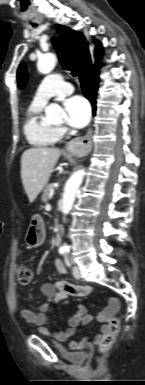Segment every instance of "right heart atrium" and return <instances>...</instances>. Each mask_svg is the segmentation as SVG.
Listing matches in <instances>:
<instances>
[{
  "label": "right heart atrium",
  "instance_id": "d8ad5b80",
  "mask_svg": "<svg viewBox=\"0 0 145 385\" xmlns=\"http://www.w3.org/2000/svg\"><path fill=\"white\" fill-rule=\"evenodd\" d=\"M57 131H58L59 136L64 133V129L63 128H58Z\"/></svg>",
  "mask_w": 145,
  "mask_h": 385
}]
</instances>
